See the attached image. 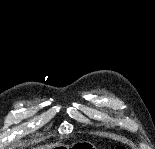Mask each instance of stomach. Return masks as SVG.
Wrapping results in <instances>:
<instances>
[{
    "label": "stomach",
    "instance_id": "0dacf381",
    "mask_svg": "<svg viewBox=\"0 0 155 149\" xmlns=\"http://www.w3.org/2000/svg\"><path fill=\"white\" fill-rule=\"evenodd\" d=\"M68 148H73V149H88V148H94V146L89 143V142H78L73 144L71 147Z\"/></svg>",
    "mask_w": 155,
    "mask_h": 149
}]
</instances>
